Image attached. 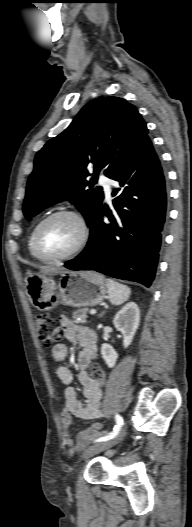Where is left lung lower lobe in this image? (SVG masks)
I'll use <instances>...</instances> for the list:
<instances>
[{"label":"left lung lower lobe","instance_id":"obj_1","mask_svg":"<svg viewBox=\"0 0 192 527\" xmlns=\"http://www.w3.org/2000/svg\"><path fill=\"white\" fill-rule=\"evenodd\" d=\"M114 213L101 206L90 239L72 270H95L108 276L151 286L158 263L166 217L165 174L152 143L145 141L113 178ZM104 216L110 220L103 222Z\"/></svg>","mask_w":192,"mask_h":527}]
</instances>
